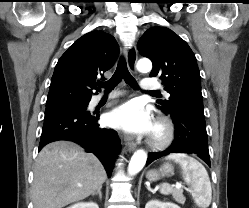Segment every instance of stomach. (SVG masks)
I'll return each instance as SVG.
<instances>
[{
	"label": "stomach",
	"instance_id": "1",
	"mask_svg": "<svg viewBox=\"0 0 249 208\" xmlns=\"http://www.w3.org/2000/svg\"><path fill=\"white\" fill-rule=\"evenodd\" d=\"M173 173L172 165L166 163L159 170H150L146 174V178L151 181H158L162 176Z\"/></svg>",
	"mask_w": 249,
	"mask_h": 208
}]
</instances>
